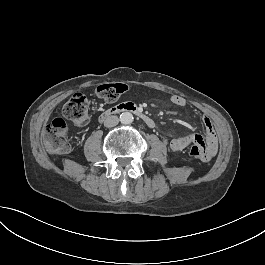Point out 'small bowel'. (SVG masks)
Wrapping results in <instances>:
<instances>
[{
    "label": "small bowel",
    "mask_w": 265,
    "mask_h": 265,
    "mask_svg": "<svg viewBox=\"0 0 265 265\" xmlns=\"http://www.w3.org/2000/svg\"><path fill=\"white\" fill-rule=\"evenodd\" d=\"M171 102L178 107H186L187 101L185 98L179 95H173L171 97ZM202 125L205 130L206 139L201 134H187V135H181L178 137L173 138L170 141V148L173 151H181L188 146H190L193 142L197 141L200 146L202 147L203 157L209 158V161L215 156L217 151V142H216V136L215 131L213 128V123L211 119L203 115L201 117ZM207 140V141H206ZM210 150V151H209Z\"/></svg>",
    "instance_id": "1"
}]
</instances>
